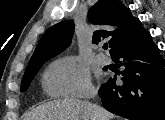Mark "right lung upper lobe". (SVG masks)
<instances>
[{"mask_svg": "<svg viewBox=\"0 0 165 120\" xmlns=\"http://www.w3.org/2000/svg\"><path fill=\"white\" fill-rule=\"evenodd\" d=\"M88 20L95 26L92 43L98 44L101 40H108L111 56L147 32L139 19L133 17L130 9L119 0H98L88 12ZM73 33L72 20L62 21L50 27L39 41L28 65L58 55L70 44Z\"/></svg>", "mask_w": 165, "mask_h": 120, "instance_id": "cb5924a9", "label": "right lung upper lobe"}]
</instances>
